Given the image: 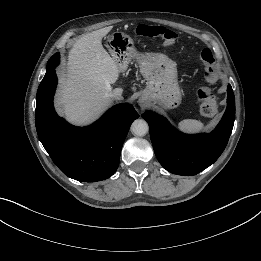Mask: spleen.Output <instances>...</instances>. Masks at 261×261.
<instances>
[{
    "label": "spleen",
    "mask_w": 261,
    "mask_h": 261,
    "mask_svg": "<svg viewBox=\"0 0 261 261\" xmlns=\"http://www.w3.org/2000/svg\"><path fill=\"white\" fill-rule=\"evenodd\" d=\"M178 127L185 132H199L204 129V124L198 120L185 119L179 122Z\"/></svg>",
    "instance_id": "obj_1"
}]
</instances>
